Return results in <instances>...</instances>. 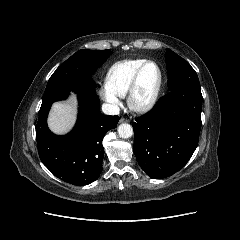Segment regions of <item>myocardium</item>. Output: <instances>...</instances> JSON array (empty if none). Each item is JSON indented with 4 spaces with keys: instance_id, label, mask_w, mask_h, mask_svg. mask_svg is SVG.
Returning <instances> with one entry per match:
<instances>
[{
    "instance_id": "1",
    "label": "myocardium",
    "mask_w": 240,
    "mask_h": 240,
    "mask_svg": "<svg viewBox=\"0 0 240 240\" xmlns=\"http://www.w3.org/2000/svg\"><path fill=\"white\" fill-rule=\"evenodd\" d=\"M148 65H153L156 67L157 73H158L157 82L151 94L145 100H138L137 91H138L140 77L143 70ZM162 84H163V73L160 65L157 62L152 60H146L144 63H142L140 67L136 70L126 94L127 102L131 110L138 113H145L150 109H152L158 100V97L162 88Z\"/></svg>"
}]
</instances>
